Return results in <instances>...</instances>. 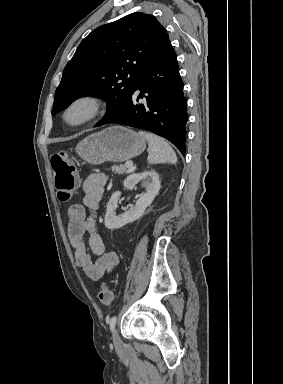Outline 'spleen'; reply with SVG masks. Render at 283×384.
Wrapping results in <instances>:
<instances>
[{
    "mask_svg": "<svg viewBox=\"0 0 283 384\" xmlns=\"http://www.w3.org/2000/svg\"><path fill=\"white\" fill-rule=\"evenodd\" d=\"M138 134L149 144L151 150L147 158L149 164H176L177 156L163 138H159L155 134H147V132H138Z\"/></svg>",
    "mask_w": 283,
    "mask_h": 384,
    "instance_id": "1",
    "label": "spleen"
}]
</instances>
